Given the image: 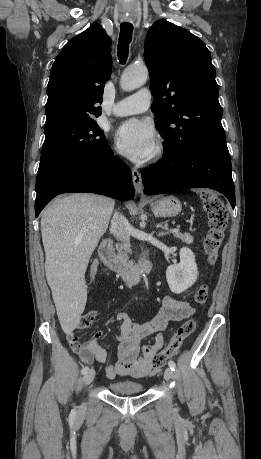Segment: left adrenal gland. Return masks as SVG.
<instances>
[{"label": "left adrenal gland", "mask_w": 261, "mask_h": 459, "mask_svg": "<svg viewBox=\"0 0 261 459\" xmlns=\"http://www.w3.org/2000/svg\"><path fill=\"white\" fill-rule=\"evenodd\" d=\"M168 234H169V232L161 231V232H159L158 237H160V236H166V235H168Z\"/></svg>", "instance_id": "obj_1"}]
</instances>
